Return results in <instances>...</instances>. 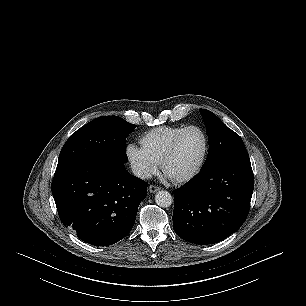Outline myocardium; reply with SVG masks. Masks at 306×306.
I'll list each match as a JSON object with an SVG mask.
<instances>
[{
    "instance_id": "f54148a6",
    "label": "myocardium",
    "mask_w": 306,
    "mask_h": 306,
    "mask_svg": "<svg viewBox=\"0 0 306 306\" xmlns=\"http://www.w3.org/2000/svg\"><path fill=\"white\" fill-rule=\"evenodd\" d=\"M191 129L198 130L202 134V136L204 138V151H203V155L201 157V160H200L198 166L194 169L193 172H191L188 175L179 177V178H175V179L172 178V180L177 182V183H185V182H189V181L195 179L201 173V171L203 170V168L205 166V163H206V160H207V157H208L209 148H210V142H209V137H208L206 131L202 127H200L198 125H188V126H185L175 136V138L171 142L168 150L166 151L165 155L163 156V158L161 160V168H162V170L165 172L166 165L172 159V157L175 155V153L177 151V148H178V145H179V142L182 139L183 135L188 130H191Z\"/></svg>"
}]
</instances>
